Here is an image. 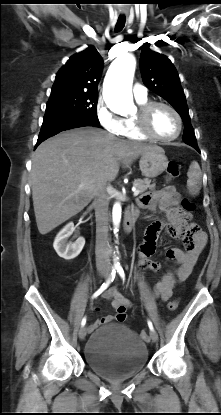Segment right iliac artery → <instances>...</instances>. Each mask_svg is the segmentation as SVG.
Returning a JSON list of instances; mask_svg holds the SVG:
<instances>
[{
	"label": "right iliac artery",
	"mask_w": 221,
	"mask_h": 415,
	"mask_svg": "<svg viewBox=\"0 0 221 415\" xmlns=\"http://www.w3.org/2000/svg\"><path fill=\"white\" fill-rule=\"evenodd\" d=\"M115 274L116 271L115 269H112L111 274L108 278V280L103 283L100 288L93 294V298H96L97 296H99L105 289H107V287L109 286V284L114 280L115 278ZM86 324V318L84 317L81 321V325L84 326Z\"/></svg>",
	"instance_id": "1"
}]
</instances>
